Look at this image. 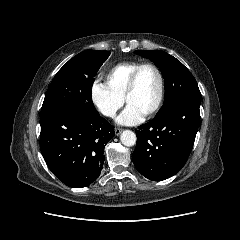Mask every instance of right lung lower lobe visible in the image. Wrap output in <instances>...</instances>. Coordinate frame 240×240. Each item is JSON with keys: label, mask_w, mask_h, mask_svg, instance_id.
I'll return each instance as SVG.
<instances>
[{"label": "right lung lower lobe", "mask_w": 240, "mask_h": 240, "mask_svg": "<svg viewBox=\"0 0 240 240\" xmlns=\"http://www.w3.org/2000/svg\"><path fill=\"white\" fill-rule=\"evenodd\" d=\"M41 153L55 176L73 188L95 181L104 163V147L115 135L99 113L59 110L40 117Z\"/></svg>", "instance_id": "98d812e1"}]
</instances>
